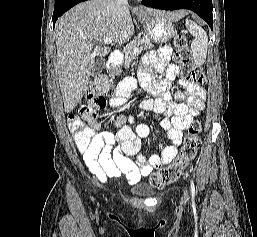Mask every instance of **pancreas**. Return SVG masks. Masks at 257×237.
I'll return each instance as SVG.
<instances>
[{
  "label": "pancreas",
  "mask_w": 257,
  "mask_h": 237,
  "mask_svg": "<svg viewBox=\"0 0 257 237\" xmlns=\"http://www.w3.org/2000/svg\"><path fill=\"white\" fill-rule=\"evenodd\" d=\"M154 45L146 39H134L126 45L124 48L125 61L131 62L134 58V55H138L143 50L153 49ZM135 48H138V53L134 54L133 51Z\"/></svg>",
  "instance_id": "1"
}]
</instances>
